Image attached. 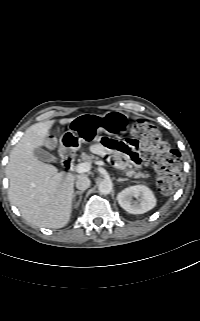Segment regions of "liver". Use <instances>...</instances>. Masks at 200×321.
I'll return each instance as SVG.
<instances>
[{
	"label": "liver",
	"mask_w": 200,
	"mask_h": 321,
	"mask_svg": "<svg viewBox=\"0 0 200 321\" xmlns=\"http://www.w3.org/2000/svg\"><path fill=\"white\" fill-rule=\"evenodd\" d=\"M74 118H64L60 124ZM54 120L30 126L12 149L6 167L8 196L29 223L47 228H62L71 218L74 181L71 173L58 172L34 156V150L48 143Z\"/></svg>",
	"instance_id": "obj_1"
}]
</instances>
